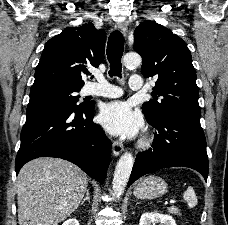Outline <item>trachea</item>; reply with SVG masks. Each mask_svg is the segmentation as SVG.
Listing matches in <instances>:
<instances>
[{
  "label": "trachea",
  "mask_w": 228,
  "mask_h": 225,
  "mask_svg": "<svg viewBox=\"0 0 228 225\" xmlns=\"http://www.w3.org/2000/svg\"><path fill=\"white\" fill-rule=\"evenodd\" d=\"M124 50V38L120 31H114L108 38L107 57L110 63V76L122 78L121 58Z\"/></svg>",
  "instance_id": "obj_1"
}]
</instances>
